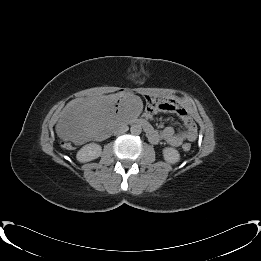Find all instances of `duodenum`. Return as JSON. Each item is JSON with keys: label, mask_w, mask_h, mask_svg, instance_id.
<instances>
[{"label": "duodenum", "mask_w": 261, "mask_h": 261, "mask_svg": "<svg viewBox=\"0 0 261 261\" xmlns=\"http://www.w3.org/2000/svg\"><path fill=\"white\" fill-rule=\"evenodd\" d=\"M136 123L138 125H140L141 127H143V129L145 130V132L147 134L151 133V131L153 130L152 126L149 124V122L144 119V118H140L136 120Z\"/></svg>", "instance_id": "410a0bca"}]
</instances>
